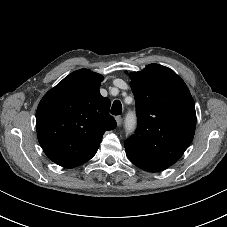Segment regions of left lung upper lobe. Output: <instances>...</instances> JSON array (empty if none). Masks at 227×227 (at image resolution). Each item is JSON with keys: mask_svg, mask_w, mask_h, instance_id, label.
<instances>
[{"mask_svg": "<svg viewBox=\"0 0 227 227\" xmlns=\"http://www.w3.org/2000/svg\"><path fill=\"white\" fill-rule=\"evenodd\" d=\"M138 128L124 141L126 154L137 167L159 172L183 155L196 127L194 100L184 81L170 68L150 64L130 74Z\"/></svg>", "mask_w": 227, "mask_h": 227, "instance_id": "left-lung-upper-lobe-1", "label": "left lung upper lobe"}]
</instances>
